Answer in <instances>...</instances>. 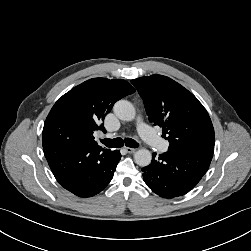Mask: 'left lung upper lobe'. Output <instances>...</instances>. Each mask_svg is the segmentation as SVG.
Wrapping results in <instances>:
<instances>
[{
  "label": "left lung upper lobe",
  "mask_w": 251,
  "mask_h": 251,
  "mask_svg": "<svg viewBox=\"0 0 251 251\" xmlns=\"http://www.w3.org/2000/svg\"><path fill=\"white\" fill-rule=\"evenodd\" d=\"M153 125L162 127L169 149L214 153V128L208 112L187 89L169 77L151 75L131 81Z\"/></svg>",
  "instance_id": "5c2ea615"
}]
</instances>
